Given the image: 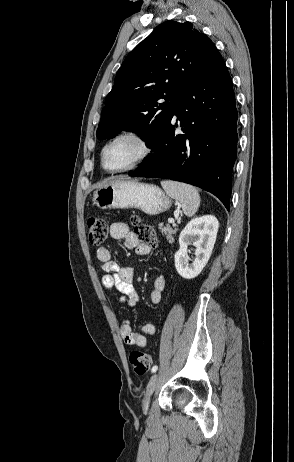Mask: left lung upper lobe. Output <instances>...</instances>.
<instances>
[{"label": "left lung upper lobe", "mask_w": 294, "mask_h": 462, "mask_svg": "<svg viewBox=\"0 0 294 462\" xmlns=\"http://www.w3.org/2000/svg\"><path fill=\"white\" fill-rule=\"evenodd\" d=\"M222 57L189 22L160 24L125 58L107 95L96 136L142 133L150 147L171 121L184 90Z\"/></svg>", "instance_id": "left-lung-upper-lobe-1"}]
</instances>
